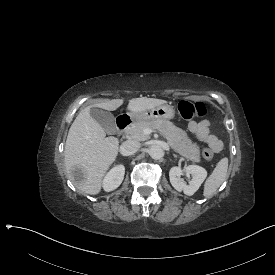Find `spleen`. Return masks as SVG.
<instances>
[{
    "instance_id": "spleen-1",
    "label": "spleen",
    "mask_w": 275,
    "mask_h": 275,
    "mask_svg": "<svg viewBox=\"0 0 275 275\" xmlns=\"http://www.w3.org/2000/svg\"><path fill=\"white\" fill-rule=\"evenodd\" d=\"M228 170V158H222L216 165L212 174L206 179L203 195L212 196L226 179Z\"/></svg>"
}]
</instances>
